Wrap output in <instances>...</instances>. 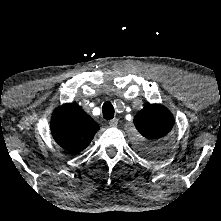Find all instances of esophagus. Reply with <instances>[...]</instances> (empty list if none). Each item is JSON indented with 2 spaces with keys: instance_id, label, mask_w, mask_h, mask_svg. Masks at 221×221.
<instances>
[{
  "instance_id": "esophagus-1",
  "label": "esophagus",
  "mask_w": 221,
  "mask_h": 221,
  "mask_svg": "<svg viewBox=\"0 0 221 221\" xmlns=\"http://www.w3.org/2000/svg\"><path fill=\"white\" fill-rule=\"evenodd\" d=\"M118 124V119L117 118H113L112 120L109 121V126L110 127H116Z\"/></svg>"
}]
</instances>
